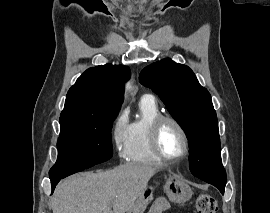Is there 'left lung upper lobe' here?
<instances>
[{
  "mask_svg": "<svg viewBox=\"0 0 270 213\" xmlns=\"http://www.w3.org/2000/svg\"><path fill=\"white\" fill-rule=\"evenodd\" d=\"M139 81L159 95L172 117L188 133L189 162L198 177L225 188L216 112L210 93L186 65L163 59L142 70Z\"/></svg>",
  "mask_w": 270,
  "mask_h": 213,
  "instance_id": "obj_1",
  "label": "left lung upper lobe"
}]
</instances>
